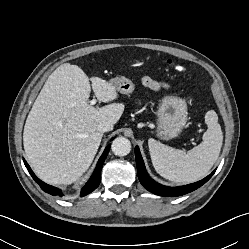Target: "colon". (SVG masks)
<instances>
[{
    "label": "colon",
    "instance_id": "obj_1",
    "mask_svg": "<svg viewBox=\"0 0 249 249\" xmlns=\"http://www.w3.org/2000/svg\"><path fill=\"white\" fill-rule=\"evenodd\" d=\"M168 63H169V64H172V61H171V60H168ZM176 68H177L178 70H180V71L184 69L182 66H177Z\"/></svg>",
    "mask_w": 249,
    "mask_h": 249
}]
</instances>
